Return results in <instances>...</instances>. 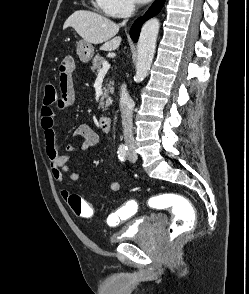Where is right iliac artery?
<instances>
[{"label":"right iliac artery","instance_id":"1","mask_svg":"<svg viewBox=\"0 0 249 294\" xmlns=\"http://www.w3.org/2000/svg\"><path fill=\"white\" fill-rule=\"evenodd\" d=\"M127 150H128V148H127V146H125V145H120L119 148H118V151H117V153H118V158H119L122 162L125 161V159H126Z\"/></svg>","mask_w":249,"mask_h":294}]
</instances>
